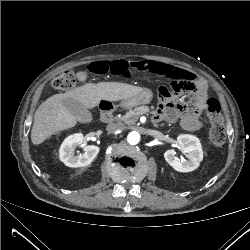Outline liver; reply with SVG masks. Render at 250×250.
I'll return each instance as SVG.
<instances>
[{"mask_svg": "<svg viewBox=\"0 0 250 250\" xmlns=\"http://www.w3.org/2000/svg\"><path fill=\"white\" fill-rule=\"evenodd\" d=\"M142 87L120 83L99 82L86 83L66 93H59L49 97L35 111L34 123L31 130V141L39 145L51 135L74 127L77 119L65 108L63 100L73 99L87 109L98 106L101 100L119 101L139 94Z\"/></svg>", "mask_w": 250, "mask_h": 250, "instance_id": "liver-1", "label": "liver"}]
</instances>
